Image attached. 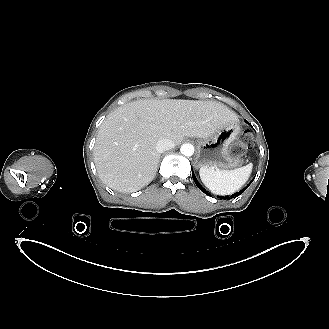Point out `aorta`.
I'll return each instance as SVG.
<instances>
[{
	"instance_id": "1",
	"label": "aorta",
	"mask_w": 329,
	"mask_h": 329,
	"mask_svg": "<svg viewBox=\"0 0 329 329\" xmlns=\"http://www.w3.org/2000/svg\"><path fill=\"white\" fill-rule=\"evenodd\" d=\"M180 152L184 156H192L194 154V146L190 143H185L181 146Z\"/></svg>"
}]
</instances>
